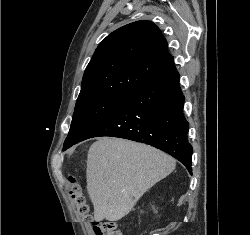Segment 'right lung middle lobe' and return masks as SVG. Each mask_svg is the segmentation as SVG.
Listing matches in <instances>:
<instances>
[{"label": "right lung middle lobe", "instance_id": "dd1d6c3e", "mask_svg": "<svg viewBox=\"0 0 250 235\" xmlns=\"http://www.w3.org/2000/svg\"><path fill=\"white\" fill-rule=\"evenodd\" d=\"M133 94L96 93L77 99L64 148L76 143L88 130L120 108Z\"/></svg>", "mask_w": 250, "mask_h": 235}]
</instances>
